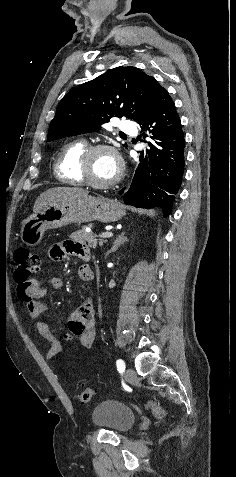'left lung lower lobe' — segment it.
<instances>
[{
    "instance_id": "left-lung-lower-lobe-1",
    "label": "left lung lower lobe",
    "mask_w": 236,
    "mask_h": 477,
    "mask_svg": "<svg viewBox=\"0 0 236 477\" xmlns=\"http://www.w3.org/2000/svg\"><path fill=\"white\" fill-rule=\"evenodd\" d=\"M141 129L144 138L149 134L152 139L149 142L151 149L146 152L145 160L144 153H141L140 161H143L136 169L123 199L126 204L135 207H159L166 217L171 212L174 194H177L182 182L185 139L175 104L163 87Z\"/></svg>"
}]
</instances>
